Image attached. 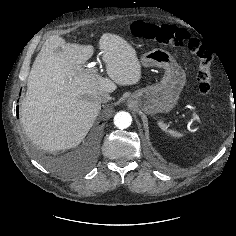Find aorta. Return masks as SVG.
Masks as SVG:
<instances>
[{
    "instance_id": "1",
    "label": "aorta",
    "mask_w": 236,
    "mask_h": 236,
    "mask_svg": "<svg viewBox=\"0 0 236 236\" xmlns=\"http://www.w3.org/2000/svg\"><path fill=\"white\" fill-rule=\"evenodd\" d=\"M132 123V117L128 112L120 111L114 116V124L119 129H126Z\"/></svg>"
}]
</instances>
